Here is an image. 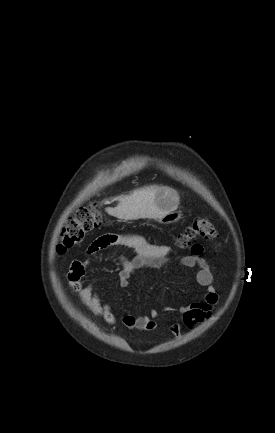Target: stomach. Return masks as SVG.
I'll return each instance as SVG.
<instances>
[{
  "instance_id": "1",
  "label": "stomach",
  "mask_w": 275,
  "mask_h": 433,
  "mask_svg": "<svg viewBox=\"0 0 275 433\" xmlns=\"http://www.w3.org/2000/svg\"><path fill=\"white\" fill-rule=\"evenodd\" d=\"M155 203L158 210L162 213L158 221L162 224H170L180 219L181 215L175 210L179 204L177 192L169 187H160L155 195Z\"/></svg>"
}]
</instances>
